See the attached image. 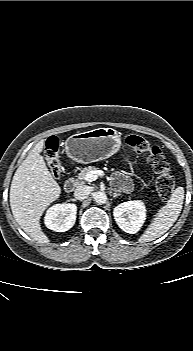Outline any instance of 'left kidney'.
<instances>
[{
    "instance_id": "1",
    "label": "left kidney",
    "mask_w": 193,
    "mask_h": 351,
    "mask_svg": "<svg viewBox=\"0 0 193 351\" xmlns=\"http://www.w3.org/2000/svg\"><path fill=\"white\" fill-rule=\"evenodd\" d=\"M117 225L126 233L135 234L146 220V207L140 200L127 201L113 210Z\"/></svg>"
}]
</instances>
